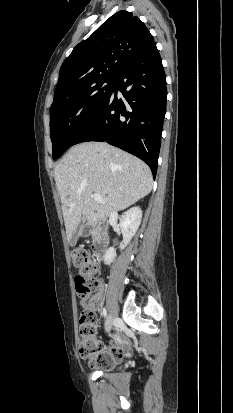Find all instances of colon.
Wrapping results in <instances>:
<instances>
[{"label":"colon","mask_w":233,"mask_h":413,"mask_svg":"<svg viewBox=\"0 0 233 413\" xmlns=\"http://www.w3.org/2000/svg\"><path fill=\"white\" fill-rule=\"evenodd\" d=\"M71 257L73 265L78 271L75 277L76 292L83 298L97 287L98 265L92 260L90 252L84 248L74 249ZM96 323L97 317L93 309L88 308L82 312L79 320V354L81 358L88 360L92 365L109 368L117 363L122 356L121 354L116 356L100 355V343L96 338Z\"/></svg>","instance_id":"obj_1"}]
</instances>
